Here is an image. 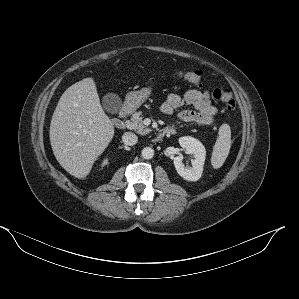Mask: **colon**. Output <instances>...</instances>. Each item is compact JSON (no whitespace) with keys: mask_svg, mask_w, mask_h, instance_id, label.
I'll return each mask as SVG.
<instances>
[{"mask_svg":"<svg viewBox=\"0 0 299 299\" xmlns=\"http://www.w3.org/2000/svg\"><path fill=\"white\" fill-rule=\"evenodd\" d=\"M176 75L192 85H200L203 78V72L199 69L190 70L186 68H179L176 71ZM213 96L216 100L225 105L228 110L235 108L236 102L230 87L221 86L215 89Z\"/></svg>","mask_w":299,"mask_h":299,"instance_id":"colon-1","label":"colon"}]
</instances>
